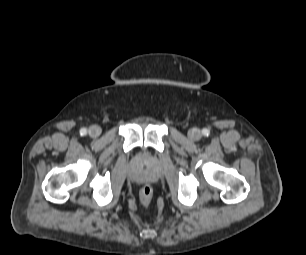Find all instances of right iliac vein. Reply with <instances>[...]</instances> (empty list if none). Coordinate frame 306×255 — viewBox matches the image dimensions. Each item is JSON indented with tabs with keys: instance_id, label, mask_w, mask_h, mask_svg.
Returning a JSON list of instances; mask_svg holds the SVG:
<instances>
[{
	"instance_id": "obj_1",
	"label": "right iliac vein",
	"mask_w": 306,
	"mask_h": 255,
	"mask_svg": "<svg viewBox=\"0 0 306 255\" xmlns=\"http://www.w3.org/2000/svg\"><path fill=\"white\" fill-rule=\"evenodd\" d=\"M88 133L93 138L98 137L101 134V128L98 125H93L89 128Z\"/></svg>"
}]
</instances>
